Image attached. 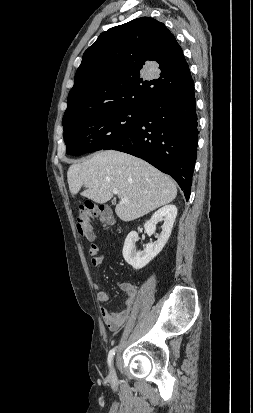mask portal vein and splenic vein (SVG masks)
Here are the masks:
<instances>
[{
    "instance_id": "portal-vein-and-splenic-vein-1",
    "label": "portal vein and splenic vein",
    "mask_w": 253,
    "mask_h": 413,
    "mask_svg": "<svg viewBox=\"0 0 253 413\" xmlns=\"http://www.w3.org/2000/svg\"><path fill=\"white\" fill-rule=\"evenodd\" d=\"M113 193H114V194H118V190H117V189H114V190H113ZM122 202H128V200H127V199H122Z\"/></svg>"
}]
</instances>
